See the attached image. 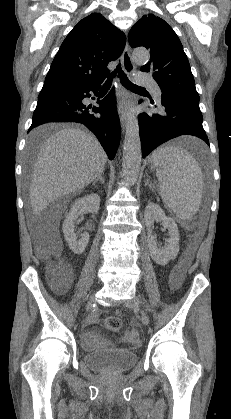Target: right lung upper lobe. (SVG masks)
Returning a JSON list of instances; mask_svg holds the SVG:
<instances>
[{
    "label": "right lung upper lobe",
    "mask_w": 231,
    "mask_h": 419,
    "mask_svg": "<svg viewBox=\"0 0 231 419\" xmlns=\"http://www.w3.org/2000/svg\"><path fill=\"white\" fill-rule=\"evenodd\" d=\"M125 34L99 13L82 19L68 34L56 54L43 87L76 89L102 83L107 64L124 49Z\"/></svg>",
    "instance_id": "right-lung-upper-lobe-1"
}]
</instances>
